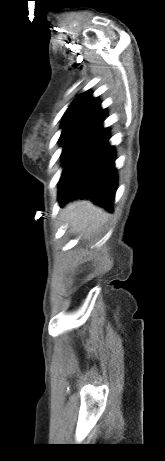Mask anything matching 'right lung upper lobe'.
Here are the masks:
<instances>
[{
    "label": "right lung upper lobe",
    "instance_id": "obj_1",
    "mask_svg": "<svg viewBox=\"0 0 165 461\" xmlns=\"http://www.w3.org/2000/svg\"><path fill=\"white\" fill-rule=\"evenodd\" d=\"M106 115L107 112L105 109H101L98 98H93L91 93L86 91L76 97L69 105L63 119L75 116H92L105 119Z\"/></svg>",
    "mask_w": 165,
    "mask_h": 461
}]
</instances>
